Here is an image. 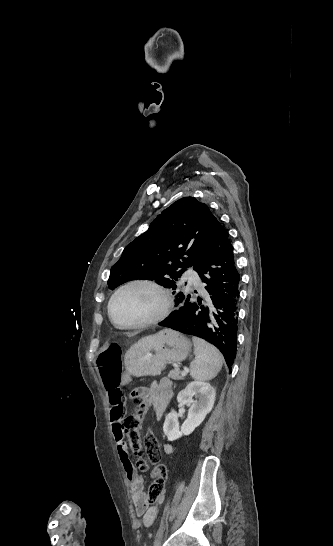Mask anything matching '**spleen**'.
<instances>
[{
  "label": "spleen",
  "instance_id": "spleen-1",
  "mask_svg": "<svg viewBox=\"0 0 333 546\" xmlns=\"http://www.w3.org/2000/svg\"><path fill=\"white\" fill-rule=\"evenodd\" d=\"M195 359L190 364V374L198 381H209L217 376L223 365V356L211 344L198 337L192 338Z\"/></svg>",
  "mask_w": 333,
  "mask_h": 546
}]
</instances>
